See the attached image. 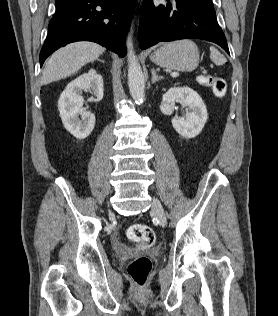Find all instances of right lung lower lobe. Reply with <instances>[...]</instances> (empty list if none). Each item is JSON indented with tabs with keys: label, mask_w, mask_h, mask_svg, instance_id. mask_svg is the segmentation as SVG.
<instances>
[{
	"label": "right lung lower lobe",
	"mask_w": 278,
	"mask_h": 316,
	"mask_svg": "<svg viewBox=\"0 0 278 316\" xmlns=\"http://www.w3.org/2000/svg\"><path fill=\"white\" fill-rule=\"evenodd\" d=\"M135 0H56V12L40 52V66L58 48L75 41H93L123 57L124 33Z\"/></svg>",
	"instance_id": "right-lung-lower-lobe-1"
}]
</instances>
